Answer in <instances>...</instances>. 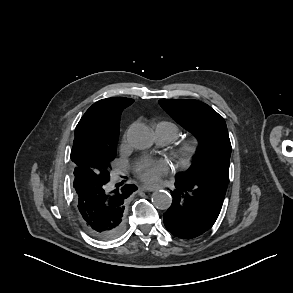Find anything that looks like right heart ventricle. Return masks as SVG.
I'll use <instances>...</instances> for the list:
<instances>
[{
    "label": "right heart ventricle",
    "mask_w": 293,
    "mask_h": 293,
    "mask_svg": "<svg viewBox=\"0 0 293 293\" xmlns=\"http://www.w3.org/2000/svg\"><path fill=\"white\" fill-rule=\"evenodd\" d=\"M157 126H161L166 132H168L173 137V140L180 135V129L174 122L161 121Z\"/></svg>",
    "instance_id": "e07e8e85"
}]
</instances>
